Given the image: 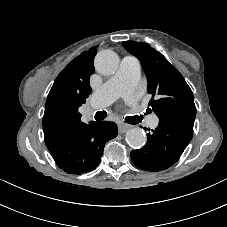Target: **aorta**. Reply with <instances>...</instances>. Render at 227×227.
I'll list each match as a JSON object with an SVG mask.
<instances>
[{"label":"aorta","instance_id":"762f6f07","mask_svg":"<svg viewBox=\"0 0 227 227\" xmlns=\"http://www.w3.org/2000/svg\"><path fill=\"white\" fill-rule=\"evenodd\" d=\"M118 64V56L111 50L100 51L95 57L96 71L102 75L114 74ZM126 142L132 148L139 149L146 143V134L141 128L133 127L126 132Z\"/></svg>","mask_w":227,"mask_h":227}]
</instances>
